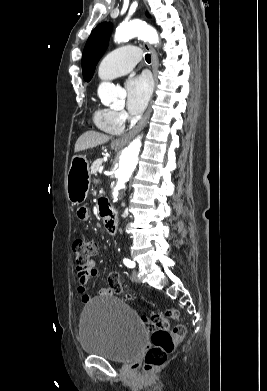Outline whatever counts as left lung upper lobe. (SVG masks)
Returning a JSON list of instances; mask_svg holds the SVG:
<instances>
[{
  "label": "left lung upper lobe",
  "mask_w": 267,
  "mask_h": 391,
  "mask_svg": "<svg viewBox=\"0 0 267 391\" xmlns=\"http://www.w3.org/2000/svg\"><path fill=\"white\" fill-rule=\"evenodd\" d=\"M112 31L111 23L99 24L89 36L82 55V72L85 81H90L96 64L107 48Z\"/></svg>",
  "instance_id": "left-lung-upper-lobe-1"
}]
</instances>
